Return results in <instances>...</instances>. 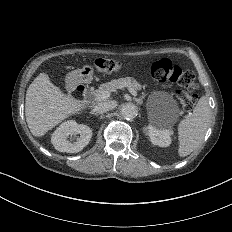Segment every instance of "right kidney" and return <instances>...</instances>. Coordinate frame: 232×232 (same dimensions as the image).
I'll return each mask as SVG.
<instances>
[{
    "label": "right kidney",
    "instance_id": "1",
    "mask_svg": "<svg viewBox=\"0 0 232 232\" xmlns=\"http://www.w3.org/2000/svg\"><path fill=\"white\" fill-rule=\"evenodd\" d=\"M91 137L92 130L88 126L70 120L54 131L51 143L60 152L77 153L88 145Z\"/></svg>",
    "mask_w": 232,
    "mask_h": 232
}]
</instances>
